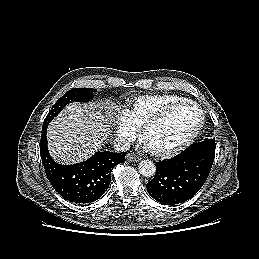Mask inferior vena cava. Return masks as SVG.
Here are the masks:
<instances>
[{
	"instance_id": "1",
	"label": "inferior vena cava",
	"mask_w": 259,
	"mask_h": 259,
	"mask_svg": "<svg viewBox=\"0 0 259 259\" xmlns=\"http://www.w3.org/2000/svg\"><path fill=\"white\" fill-rule=\"evenodd\" d=\"M113 147L118 152L127 151L130 148V143L123 137L116 138L113 141Z\"/></svg>"
}]
</instances>
